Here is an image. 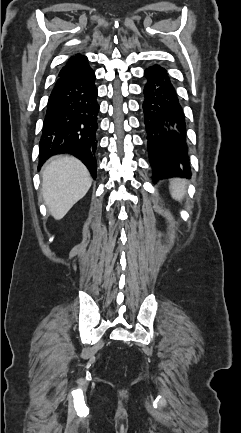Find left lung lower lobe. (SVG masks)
Segmentation results:
<instances>
[{"mask_svg":"<svg viewBox=\"0 0 241 433\" xmlns=\"http://www.w3.org/2000/svg\"><path fill=\"white\" fill-rule=\"evenodd\" d=\"M143 122L153 181L191 176L183 108L166 70L158 65L145 70Z\"/></svg>","mask_w":241,"mask_h":433,"instance_id":"1","label":"left lung lower lobe"}]
</instances>
